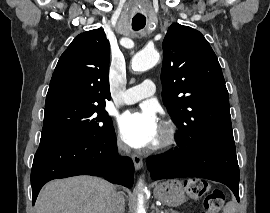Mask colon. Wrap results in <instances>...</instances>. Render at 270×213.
Listing matches in <instances>:
<instances>
[{
	"instance_id": "obj_1",
	"label": "colon",
	"mask_w": 270,
	"mask_h": 213,
	"mask_svg": "<svg viewBox=\"0 0 270 213\" xmlns=\"http://www.w3.org/2000/svg\"><path fill=\"white\" fill-rule=\"evenodd\" d=\"M185 193L193 199L204 197L202 213H221L225 204V195L221 189H212L203 179H188L184 183Z\"/></svg>"
}]
</instances>
